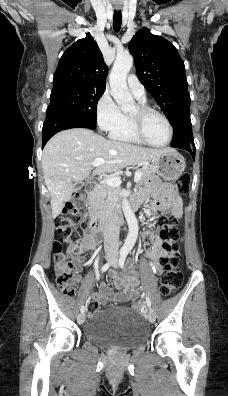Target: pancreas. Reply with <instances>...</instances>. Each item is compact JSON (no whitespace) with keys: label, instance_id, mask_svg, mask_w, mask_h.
<instances>
[{"label":"pancreas","instance_id":"1","mask_svg":"<svg viewBox=\"0 0 228 396\" xmlns=\"http://www.w3.org/2000/svg\"><path fill=\"white\" fill-rule=\"evenodd\" d=\"M139 171L142 173L140 181H144L155 173V168L152 165H146ZM118 196L119 192L116 188L102 183L89 198L90 213L93 218L105 219L108 211L114 207V201L118 199Z\"/></svg>","mask_w":228,"mask_h":396}]
</instances>
